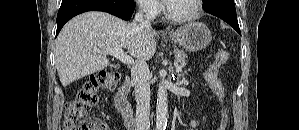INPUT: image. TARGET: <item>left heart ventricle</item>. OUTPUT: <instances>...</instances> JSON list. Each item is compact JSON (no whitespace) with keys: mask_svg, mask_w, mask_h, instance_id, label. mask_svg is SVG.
I'll return each mask as SVG.
<instances>
[{"mask_svg":"<svg viewBox=\"0 0 299 130\" xmlns=\"http://www.w3.org/2000/svg\"><path fill=\"white\" fill-rule=\"evenodd\" d=\"M169 12L173 15H183L193 9V0H173L168 2Z\"/></svg>","mask_w":299,"mask_h":130,"instance_id":"left-heart-ventricle-1","label":"left heart ventricle"}]
</instances>
